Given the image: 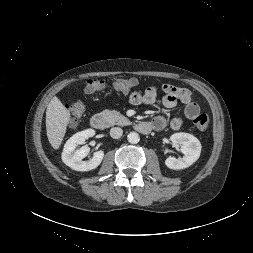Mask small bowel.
I'll return each instance as SVG.
<instances>
[{
	"label": "small bowel",
	"mask_w": 253,
	"mask_h": 253,
	"mask_svg": "<svg viewBox=\"0 0 253 253\" xmlns=\"http://www.w3.org/2000/svg\"><path fill=\"white\" fill-rule=\"evenodd\" d=\"M164 96L161 99L162 105L167 109H173L180 102L184 105L185 116L192 120L200 113L199 105L193 100L191 92L186 88L177 87L170 84L161 86ZM130 102L134 105L142 103L154 104L158 100V88L155 86L148 87L143 93L140 91H133L129 96ZM153 129H163L167 121L163 116L155 117L152 122ZM169 125L172 130L178 131L183 125V121L179 117H174L170 120Z\"/></svg>",
	"instance_id": "obj_1"
}]
</instances>
